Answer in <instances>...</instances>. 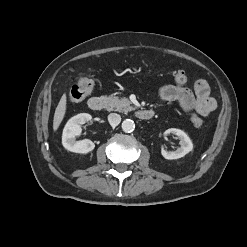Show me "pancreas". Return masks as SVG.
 <instances>
[{"mask_svg":"<svg viewBox=\"0 0 247 247\" xmlns=\"http://www.w3.org/2000/svg\"><path fill=\"white\" fill-rule=\"evenodd\" d=\"M108 110L118 111L121 113H128L135 109L131 106V102L127 98H120L117 96L107 97Z\"/></svg>","mask_w":247,"mask_h":247,"instance_id":"cf45deb5","label":"pancreas"}]
</instances>
